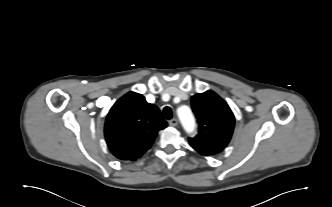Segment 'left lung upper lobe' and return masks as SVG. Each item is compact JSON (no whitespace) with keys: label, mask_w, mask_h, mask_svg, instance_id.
I'll list each match as a JSON object with an SVG mask.
<instances>
[{"label":"left lung upper lobe","mask_w":332,"mask_h":207,"mask_svg":"<svg viewBox=\"0 0 332 207\" xmlns=\"http://www.w3.org/2000/svg\"><path fill=\"white\" fill-rule=\"evenodd\" d=\"M192 109L199 124L190 145L204 156L221 152L229 143L234 129V115L227 103L209 90L191 99Z\"/></svg>","instance_id":"left-lung-upper-lobe-1"}]
</instances>
